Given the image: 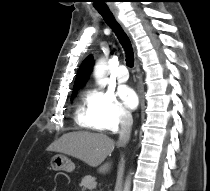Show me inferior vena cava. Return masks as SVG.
Segmentation results:
<instances>
[{"mask_svg": "<svg viewBox=\"0 0 210 191\" xmlns=\"http://www.w3.org/2000/svg\"><path fill=\"white\" fill-rule=\"evenodd\" d=\"M133 118L129 111H124L120 117L119 146H125L131 135Z\"/></svg>", "mask_w": 210, "mask_h": 191, "instance_id": "obj_1", "label": "inferior vena cava"}]
</instances>
